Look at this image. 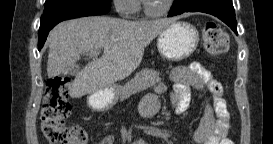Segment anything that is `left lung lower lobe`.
I'll use <instances>...</instances> for the list:
<instances>
[{"instance_id":"0a47b994","label":"left lung lower lobe","mask_w":273,"mask_h":144,"mask_svg":"<svg viewBox=\"0 0 273 144\" xmlns=\"http://www.w3.org/2000/svg\"><path fill=\"white\" fill-rule=\"evenodd\" d=\"M196 11L218 17L237 34V22L232 0H180L172 5L168 17Z\"/></svg>"}]
</instances>
